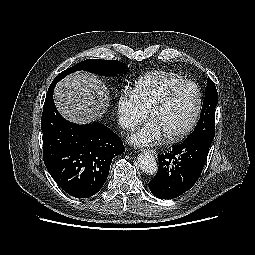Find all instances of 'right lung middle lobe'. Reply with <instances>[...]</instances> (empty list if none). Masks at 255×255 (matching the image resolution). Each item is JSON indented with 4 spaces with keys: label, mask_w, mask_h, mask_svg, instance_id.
Returning <instances> with one entry per match:
<instances>
[{
    "label": "right lung middle lobe",
    "mask_w": 255,
    "mask_h": 255,
    "mask_svg": "<svg viewBox=\"0 0 255 255\" xmlns=\"http://www.w3.org/2000/svg\"><path fill=\"white\" fill-rule=\"evenodd\" d=\"M126 68L127 66L124 63H121L117 60L87 59L61 72L53 80L50 86H55L57 82L66 77L68 74L78 70H85L103 76H114L124 71Z\"/></svg>",
    "instance_id": "obj_1"
}]
</instances>
